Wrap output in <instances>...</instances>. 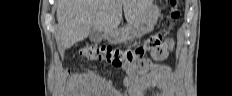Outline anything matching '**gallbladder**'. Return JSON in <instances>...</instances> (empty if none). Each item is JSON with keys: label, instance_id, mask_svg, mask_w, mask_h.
Wrapping results in <instances>:
<instances>
[{"label": "gallbladder", "instance_id": "obj_1", "mask_svg": "<svg viewBox=\"0 0 232 96\" xmlns=\"http://www.w3.org/2000/svg\"><path fill=\"white\" fill-rule=\"evenodd\" d=\"M102 38V33L92 26L89 32V39L95 43H99L102 41Z\"/></svg>", "mask_w": 232, "mask_h": 96}]
</instances>
